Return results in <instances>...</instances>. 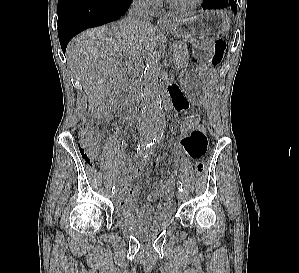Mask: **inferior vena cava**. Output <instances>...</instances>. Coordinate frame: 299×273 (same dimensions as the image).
<instances>
[{"label":"inferior vena cava","mask_w":299,"mask_h":273,"mask_svg":"<svg viewBox=\"0 0 299 273\" xmlns=\"http://www.w3.org/2000/svg\"><path fill=\"white\" fill-rule=\"evenodd\" d=\"M148 12V0H133V3L129 9L127 20L134 26H147L150 24ZM132 84H136L135 75L132 77Z\"/></svg>","instance_id":"obj_1"}]
</instances>
